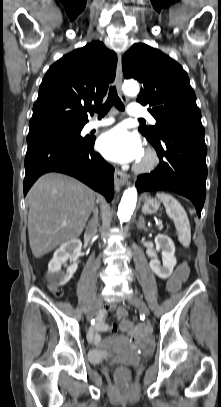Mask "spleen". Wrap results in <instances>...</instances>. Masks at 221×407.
I'll list each match as a JSON object with an SVG mask.
<instances>
[{
  "mask_svg": "<svg viewBox=\"0 0 221 407\" xmlns=\"http://www.w3.org/2000/svg\"><path fill=\"white\" fill-rule=\"evenodd\" d=\"M156 196L163 202L169 218L174 221L179 241L183 246L188 247L191 242V227L184 208L176 198L168 193L158 192Z\"/></svg>",
  "mask_w": 221,
  "mask_h": 407,
  "instance_id": "obj_1",
  "label": "spleen"
}]
</instances>
